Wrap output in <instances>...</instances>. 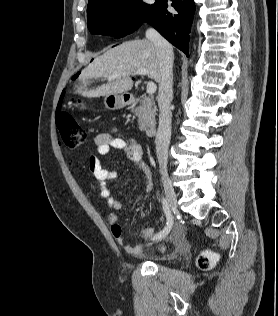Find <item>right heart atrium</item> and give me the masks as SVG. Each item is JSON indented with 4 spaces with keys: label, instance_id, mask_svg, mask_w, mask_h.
I'll return each instance as SVG.
<instances>
[{
    "label": "right heart atrium",
    "instance_id": "obj_1",
    "mask_svg": "<svg viewBox=\"0 0 278 316\" xmlns=\"http://www.w3.org/2000/svg\"><path fill=\"white\" fill-rule=\"evenodd\" d=\"M130 10L126 7H122L116 11L115 18L118 22L125 23L130 18Z\"/></svg>",
    "mask_w": 278,
    "mask_h": 316
}]
</instances>
